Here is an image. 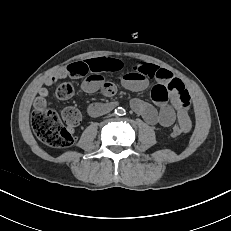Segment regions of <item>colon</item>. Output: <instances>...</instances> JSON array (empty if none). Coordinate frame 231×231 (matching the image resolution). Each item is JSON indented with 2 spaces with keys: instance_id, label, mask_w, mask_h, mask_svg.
<instances>
[{
  "instance_id": "1",
  "label": "colon",
  "mask_w": 231,
  "mask_h": 231,
  "mask_svg": "<svg viewBox=\"0 0 231 231\" xmlns=\"http://www.w3.org/2000/svg\"><path fill=\"white\" fill-rule=\"evenodd\" d=\"M69 77L82 76L80 66L73 63L67 66ZM73 94V87L70 83L60 84L56 89V96L59 99H67ZM80 122V113L73 107L65 108L61 115L47 107L40 105L35 107L31 123L32 128L39 140L50 147L68 148L74 142L71 129ZM186 132L184 126L176 124L172 128V135L178 137Z\"/></svg>"
}]
</instances>
